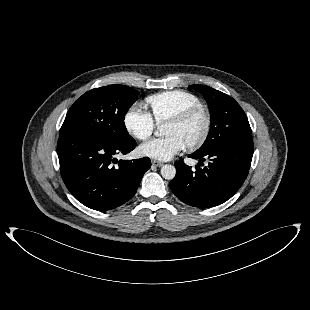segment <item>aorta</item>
<instances>
[{
  "instance_id": "obj_1",
  "label": "aorta",
  "mask_w": 310,
  "mask_h": 310,
  "mask_svg": "<svg viewBox=\"0 0 310 310\" xmlns=\"http://www.w3.org/2000/svg\"><path fill=\"white\" fill-rule=\"evenodd\" d=\"M155 134L159 135V132L157 131ZM161 175L164 179L172 180L176 175V168L171 164L163 165L161 168Z\"/></svg>"
}]
</instances>
